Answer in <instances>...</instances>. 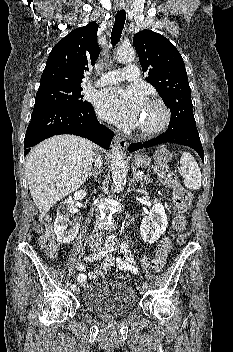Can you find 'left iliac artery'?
Wrapping results in <instances>:
<instances>
[{"label": "left iliac artery", "mask_w": 233, "mask_h": 352, "mask_svg": "<svg viewBox=\"0 0 233 352\" xmlns=\"http://www.w3.org/2000/svg\"><path fill=\"white\" fill-rule=\"evenodd\" d=\"M110 251H113V247L111 248V250ZM142 286H143V288H147V283L146 282H143V284H142Z\"/></svg>", "instance_id": "44dca946"}]
</instances>
